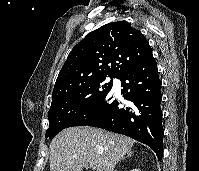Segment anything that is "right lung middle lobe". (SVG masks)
Wrapping results in <instances>:
<instances>
[{
    "label": "right lung middle lobe",
    "mask_w": 199,
    "mask_h": 171,
    "mask_svg": "<svg viewBox=\"0 0 199 171\" xmlns=\"http://www.w3.org/2000/svg\"><path fill=\"white\" fill-rule=\"evenodd\" d=\"M98 78L81 84L65 96L51 103L48 112L49 128L46 138H53L84 110L97 102L112 88L115 77Z\"/></svg>",
    "instance_id": "right-lung-middle-lobe-1"
}]
</instances>
